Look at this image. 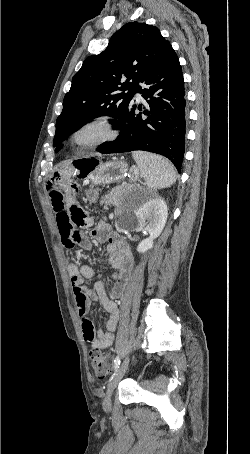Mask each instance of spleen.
Wrapping results in <instances>:
<instances>
[{
	"mask_svg": "<svg viewBox=\"0 0 250 454\" xmlns=\"http://www.w3.org/2000/svg\"><path fill=\"white\" fill-rule=\"evenodd\" d=\"M137 167L151 190L170 187L176 181V172L170 161L160 155L133 152Z\"/></svg>",
	"mask_w": 250,
	"mask_h": 454,
	"instance_id": "obj_1",
	"label": "spleen"
}]
</instances>
